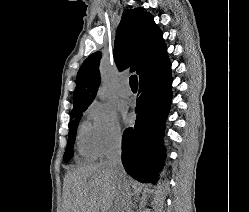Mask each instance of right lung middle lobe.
<instances>
[{
    "label": "right lung middle lobe",
    "instance_id": "right-lung-middle-lobe-1",
    "mask_svg": "<svg viewBox=\"0 0 249 212\" xmlns=\"http://www.w3.org/2000/svg\"><path fill=\"white\" fill-rule=\"evenodd\" d=\"M86 109L87 108L75 109V110H72L70 113L71 120L69 123L68 144H67V148H66V151L64 153V158H63L65 163L69 162L73 156V145H74L75 136L77 132V126L81 119L82 113Z\"/></svg>",
    "mask_w": 249,
    "mask_h": 212
}]
</instances>
